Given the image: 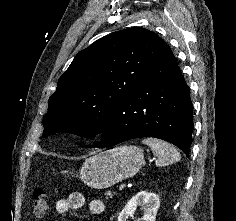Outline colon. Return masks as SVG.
<instances>
[{"label": "colon", "mask_w": 236, "mask_h": 221, "mask_svg": "<svg viewBox=\"0 0 236 221\" xmlns=\"http://www.w3.org/2000/svg\"><path fill=\"white\" fill-rule=\"evenodd\" d=\"M33 212L37 217H42L48 210L49 202L48 197L43 189L35 190L33 194Z\"/></svg>", "instance_id": "colon-1"}]
</instances>
